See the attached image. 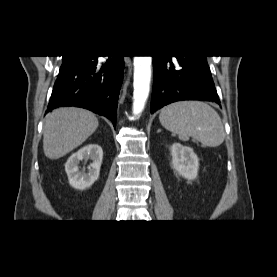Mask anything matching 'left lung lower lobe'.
Listing matches in <instances>:
<instances>
[{"mask_svg": "<svg viewBox=\"0 0 277 277\" xmlns=\"http://www.w3.org/2000/svg\"><path fill=\"white\" fill-rule=\"evenodd\" d=\"M151 113L179 100L220 104L206 56H153Z\"/></svg>", "mask_w": 277, "mask_h": 277, "instance_id": "1", "label": "left lung lower lobe"}]
</instances>
